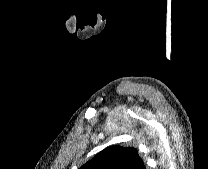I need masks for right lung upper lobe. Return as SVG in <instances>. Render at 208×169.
<instances>
[{"mask_svg":"<svg viewBox=\"0 0 208 169\" xmlns=\"http://www.w3.org/2000/svg\"><path fill=\"white\" fill-rule=\"evenodd\" d=\"M79 169H146L135 148L113 145L96 154Z\"/></svg>","mask_w":208,"mask_h":169,"instance_id":"cb5924a9","label":"right lung upper lobe"}]
</instances>
